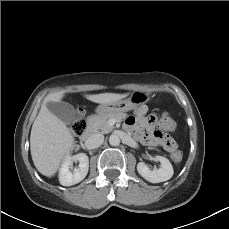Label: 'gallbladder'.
<instances>
[{
	"label": "gallbladder",
	"mask_w": 229,
	"mask_h": 229,
	"mask_svg": "<svg viewBox=\"0 0 229 229\" xmlns=\"http://www.w3.org/2000/svg\"><path fill=\"white\" fill-rule=\"evenodd\" d=\"M48 109L56 115L64 123L70 125L76 120V112L74 107L67 102H49Z\"/></svg>",
	"instance_id": "obj_1"
}]
</instances>
